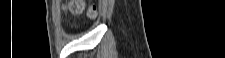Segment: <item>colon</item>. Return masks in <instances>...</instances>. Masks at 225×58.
<instances>
[{
  "mask_svg": "<svg viewBox=\"0 0 225 58\" xmlns=\"http://www.w3.org/2000/svg\"><path fill=\"white\" fill-rule=\"evenodd\" d=\"M84 8H85V1L81 0L72 1L70 5V11L75 14L81 13L84 10ZM90 13L91 14L96 13L95 6L90 8Z\"/></svg>",
  "mask_w": 225,
  "mask_h": 58,
  "instance_id": "colon-1",
  "label": "colon"
}]
</instances>
